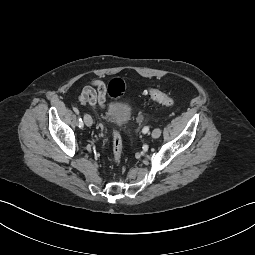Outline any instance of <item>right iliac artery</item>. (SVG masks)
<instances>
[{
  "mask_svg": "<svg viewBox=\"0 0 255 255\" xmlns=\"http://www.w3.org/2000/svg\"><path fill=\"white\" fill-rule=\"evenodd\" d=\"M78 127L79 128H83V121H82V119L80 117L78 119Z\"/></svg>",
  "mask_w": 255,
  "mask_h": 255,
  "instance_id": "82829eb1",
  "label": "right iliac artery"
}]
</instances>
